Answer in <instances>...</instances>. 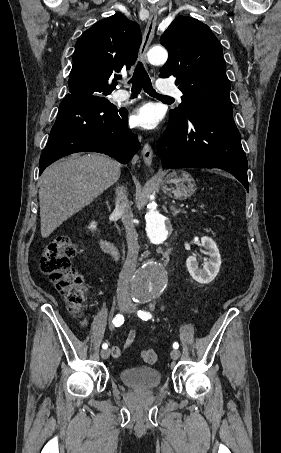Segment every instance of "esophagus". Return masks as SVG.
Wrapping results in <instances>:
<instances>
[{
	"mask_svg": "<svg viewBox=\"0 0 281 453\" xmlns=\"http://www.w3.org/2000/svg\"><path fill=\"white\" fill-rule=\"evenodd\" d=\"M156 22H157V10L150 9V16L148 18V22H147V25H146V28L144 31L142 45L140 47V52H139V57L143 64L146 63V52L148 50L150 43L153 40L154 34H155ZM141 153H142L144 162L146 163V165H148L150 167L152 164V159H153V150H152L151 145L149 143H145V145L142 148Z\"/></svg>",
	"mask_w": 281,
	"mask_h": 453,
	"instance_id": "34e87169",
	"label": "esophagus"
}]
</instances>
